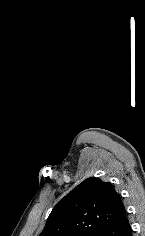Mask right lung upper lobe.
Wrapping results in <instances>:
<instances>
[{
  "label": "right lung upper lobe",
  "instance_id": "right-lung-upper-lobe-1",
  "mask_svg": "<svg viewBox=\"0 0 145 236\" xmlns=\"http://www.w3.org/2000/svg\"><path fill=\"white\" fill-rule=\"evenodd\" d=\"M125 213L110 183L87 178L56 204L39 236H96Z\"/></svg>",
  "mask_w": 145,
  "mask_h": 236
}]
</instances>
